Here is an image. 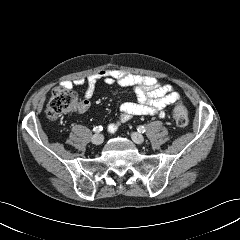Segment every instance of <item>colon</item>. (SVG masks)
Segmentation results:
<instances>
[{
    "label": "colon",
    "mask_w": 240,
    "mask_h": 240,
    "mask_svg": "<svg viewBox=\"0 0 240 240\" xmlns=\"http://www.w3.org/2000/svg\"><path fill=\"white\" fill-rule=\"evenodd\" d=\"M79 107L80 103L76 93L69 87L58 85L52 91L46 108V115L51 120H58ZM173 117L176 124L180 127H185L189 123L187 109L181 104L175 105Z\"/></svg>",
    "instance_id": "obj_1"
}]
</instances>
